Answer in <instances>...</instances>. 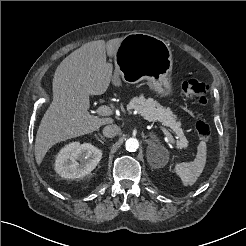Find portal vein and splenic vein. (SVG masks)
<instances>
[{
    "label": "portal vein and splenic vein",
    "instance_id": "1",
    "mask_svg": "<svg viewBox=\"0 0 246 246\" xmlns=\"http://www.w3.org/2000/svg\"><path fill=\"white\" fill-rule=\"evenodd\" d=\"M98 114L99 115H102V116H110L112 115V109L106 105H102L98 108L97 110ZM162 131L164 132V134H166L168 137H169V140L171 143H174L175 142V139L173 138V136L166 130V128L162 127L161 128Z\"/></svg>",
    "mask_w": 246,
    "mask_h": 246
}]
</instances>
